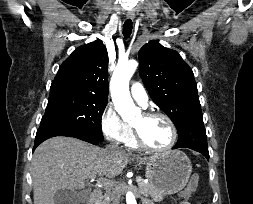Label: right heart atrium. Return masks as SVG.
<instances>
[{
    "instance_id": "1",
    "label": "right heart atrium",
    "mask_w": 253,
    "mask_h": 204,
    "mask_svg": "<svg viewBox=\"0 0 253 204\" xmlns=\"http://www.w3.org/2000/svg\"><path fill=\"white\" fill-rule=\"evenodd\" d=\"M100 126L103 135L116 144L126 143L132 133L131 126L124 122L110 105L102 113Z\"/></svg>"
}]
</instances>
